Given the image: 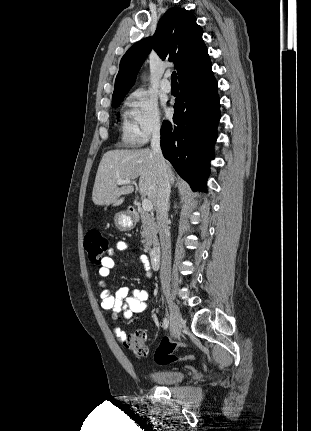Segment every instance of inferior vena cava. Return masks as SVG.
<instances>
[{"label": "inferior vena cava", "mask_w": 311, "mask_h": 431, "mask_svg": "<svg viewBox=\"0 0 311 431\" xmlns=\"http://www.w3.org/2000/svg\"><path fill=\"white\" fill-rule=\"evenodd\" d=\"M160 126H154L151 150L154 158L158 164V190H157V204H156V219L161 243V269L160 279L162 289L161 292L167 295L170 292V271H171V235L168 227V202L171 192L168 174L166 170L165 160L163 158L160 146Z\"/></svg>", "instance_id": "inferior-vena-cava-1"}]
</instances>
